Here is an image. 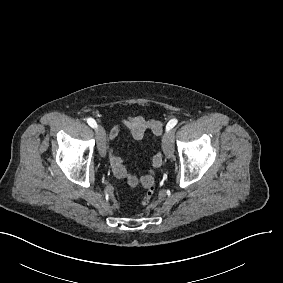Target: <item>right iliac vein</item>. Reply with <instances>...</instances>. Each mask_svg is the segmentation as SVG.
I'll return each instance as SVG.
<instances>
[{"label":"right iliac vein","instance_id":"obj_1","mask_svg":"<svg viewBox=\"0 0 283 283\" xmlns=\"http://www.w3.org/2000/svg\"><path fill=\"white\" fill-rule=\"evenodd\" d=\"M97 137L99 139V153L101 156L106 155V134L103 127L98 126L97 128Z\"/></svg>","mask_w":283,"mask_h":283}]
</instances>
